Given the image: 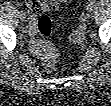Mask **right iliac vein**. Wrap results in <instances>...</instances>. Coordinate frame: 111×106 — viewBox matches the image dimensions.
Listing matches in <instances>:
<instances>
[{
  "instance_id": "1",
  "label": "right iliac vein",
  "mask_w": 111,
  "mask_h": 106,
  "mask_svg": "<svg viewBox=\"0 0 111 106\" xmlns=\"http://www.w3.org/2000/svg\"><path fill=\"white\" fill-rule=\"evenodd\" d=\"M19 17L21 20H25L26 19V14L25 13H19Z\"/></svg>"
}]
</instances>
